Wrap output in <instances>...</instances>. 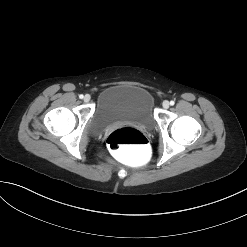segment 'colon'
<instances>
[{
  "mask_svg": "<svg viewBox=\"0 0 247 247\" xmlns=\"http://www.w3.org/2000/svg\"><path fill=\"white\" fill-rule=\"evenodd\" d=\"M107 146L123 162L138 167L147 165L153 155L145 135L130 127L119 128L111 132L107 138Z\"/></svg>",
  "mask_w": 247,
  "mask_h": 247,
  "instance_id": "colon-1",
  "label": "colon"
}]
</instances>
